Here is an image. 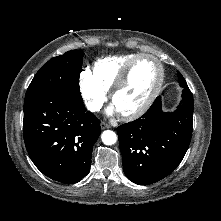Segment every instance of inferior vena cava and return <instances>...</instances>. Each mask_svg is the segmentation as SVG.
<instances>
[{"label": "inferior vena cava", "instance_id": "obj_1", "mask_svg": "<svg viewBox=\"0 0 221 221\" xmlns=\"http://www.w3.org/2000/svg\"><path fill=\"white\" fill-rule=\"evenodd\" d=\"M87 107L92 112H96V111H99L101 109V105L100 104H96V103H90V104H88Z\"/></svg>", "mask_w": 221, "mask_h": 221}]
</instances>
